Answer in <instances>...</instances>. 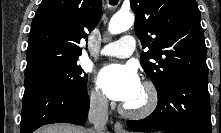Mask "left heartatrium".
Returning a JSON list of instances; mask_svg holds the SVG:
<instances>
[{
    "label": "left heart atrium",
    "mask_w": 221,
    "mask_h": 133,
    "mask_svg": "<svg viewBox=\"0 0 221 133\" xmlns=\"http://www.w3.org/2000/svg\"><path fill=\"white\" fill-rule=\"evenodd\" d=\"M98 86L112 100L129 103L142 89L136 69L130 65L111 64L98 75Z\"/></svg>",
    "instance_id": "39dd6f15"
}]
</instances>
